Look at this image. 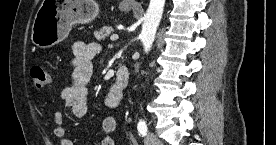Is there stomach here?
Here are the masks:
<instances>
[{
	"label": "stomach",
	"mask_w": 276,
	"mask_h": 145,
	"mask_svg": "<svg viewBox=\"0 0 276 145\" xmlns=\"http://www.w3.org/2000/svg\"><path fill=\"white\" fill-rule=\"evenodd\" d=\"M98 14L99 5L94 0H43L33 22L32 43L40 48L52 47L67 38L74 24L89 23Z\"/></svg>",
	"instance_id": "stomach-1"
}]
</instances>
